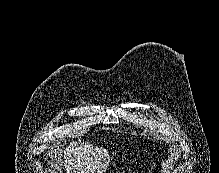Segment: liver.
Returning a JSON list of instances; mask_svg holds the SVG:
<instances>
[{
    "label": "liver",
    "instance_id": "liver-1",
    "mask_svg": "<svg viewBox=\"0 0 219 173\" xmlns=\"http://www.w3.org/2000/svg\"><path fill=\"white\" fill-rule=\"evenodd\" d=\"M109 162L106 150L81 140L71 143L64 151L66 173H103Z\"/></svg>",
    "mask_w": 219,
    "mask_h": 173
}]
</instances>
